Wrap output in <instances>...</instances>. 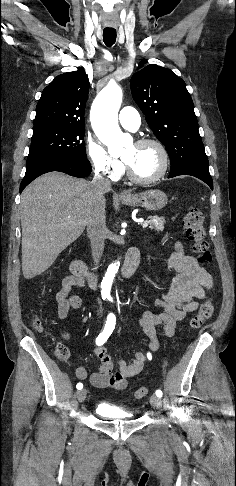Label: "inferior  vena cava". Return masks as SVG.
<instances>
[{
  "label": "inferior vena cava",
  "mask_w": 236,
  "mask_h": 486,
  "mask_svg": "<svg viewBox=\"0 0 236 486\" xmlns=\"http://www.w3.org/2000/svg\"><path fill=\"white\" fill-rule=\"evenodd\" d=\"M91 194L93 197V206L87 221V234L91 243L92 256L96 270L102 257L105 238L107 233L105 221V203L104 194L111 189V182L104 178L102 174L95 173L90 183Z\"/></svg>",
  "instance_id": "inferior-vena-cava-1"
}]
</instances>
